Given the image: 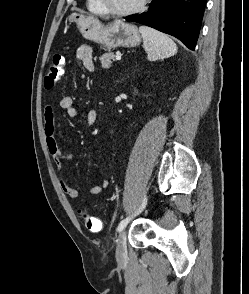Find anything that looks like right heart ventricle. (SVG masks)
Here are the masks:
<instances>
[{"instance_id":"1","label":"right heart ventricle","mask_w":249,"mask_h":294,"mask_svg":"<svg viewBox=\"0 0 249 294\" xmlns=\"http://www.w3.org/2000/svg\"><path fill=\"white\" fill-rule=\"evenodd\" d=\"M87 8L90 12L97 15H105L97 0H87Z\"/></svg>"}]
</instances>
